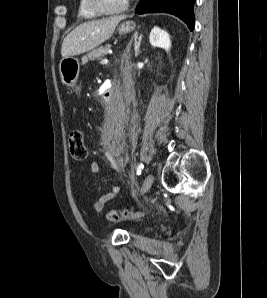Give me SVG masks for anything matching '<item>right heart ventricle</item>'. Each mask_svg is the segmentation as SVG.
<instances>
[{"label": "right heart ventricle", "instance_id": "e07e8e85", "mask_svg": "<svg viewBox=\"0 0 267 298\" xmlns=\"http://www.w3.org/2000/svg\"><path fill=\"white\" fill-rule=\"evenodd\" d=\"M78 17L85 20H93L99 17L94 11H92L87 3V0H79L78 1Z\"/></svg>", "mask_w": 267, "mask_h": 298}]
</instances>
